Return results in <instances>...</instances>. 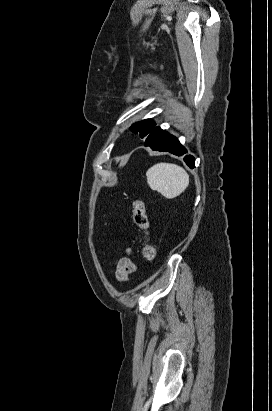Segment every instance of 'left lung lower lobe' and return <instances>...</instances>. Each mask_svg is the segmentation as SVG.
<instances>
[{
  "instance_id": "1",
  "label": "left lung lower lobe",
  "mask_w": 272,
  "mask_h": 411,
  "mask_svg": "<svg viewBox=\"0 0 272 411\" xmlns=\"http://www.w3.org/2000/svg\"><path fill=\"white\" fill-rule=\"evenodd\" d=\"M145 146L151 147L152 150L170 152L177 156H182L187 152L175 136L162 129L151 132L146 138ZM184 161L190 168H194L192 156H185Z\"/></svg>"
}]
</instances>
